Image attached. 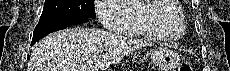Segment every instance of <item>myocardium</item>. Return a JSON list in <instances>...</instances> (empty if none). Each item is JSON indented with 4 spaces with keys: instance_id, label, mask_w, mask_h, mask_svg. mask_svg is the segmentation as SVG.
Segmentation results:
<instances>
[{
    "instance_id": "1",
    "label": "myocardium",
    "mask_w": 230,
    "mask_h": 71,
    "mask_svg": "<svg viewBox=\"0 0 230 71\" xmlns=\"http://www.w3.org/2000/svg\"><path fill=\"white\" fill-rule=\"evenodd\" d=\"M155 2L168 3V2H178V1H176V0H156ZM182 28L185 31L184 25H182Z\"/></svg>"
}]
</instances>
